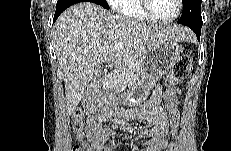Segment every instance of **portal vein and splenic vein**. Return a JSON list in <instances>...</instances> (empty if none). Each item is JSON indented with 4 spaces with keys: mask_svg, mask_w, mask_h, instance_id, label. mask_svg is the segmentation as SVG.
Returning <instances> with one entry per match:
<instances>
[{
    "mask_svg": "<svg viewBox=\"0 0 231 151\" xmlns=\"http://www.w3.org/2000/svg\"><path fill=\"white\" fill-rule=\"evenodd\" d=\"M122 47H123V44H122V43H116V44L114 45V48L117 49V50L121 49Z\"/></svg>",
    "mask_w": 231,
    "mask_h": 151,
    "instance_id": "obj_1",
    "label": "portal vein and splenic vein"
}]
</instances>
